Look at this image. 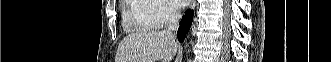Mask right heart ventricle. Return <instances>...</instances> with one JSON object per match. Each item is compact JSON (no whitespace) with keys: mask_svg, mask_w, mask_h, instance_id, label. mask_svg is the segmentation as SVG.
<instances>
[{"mask_svg":"<svg viewBox=\"0 0 331 62\" xmlns=\"http://www.w3.org/2000/svg\"><path fill=\"white\" fill-rule=\"evenodd\" d=\"M151 8L144 0H129L123 8V24L127 29L148 32L153 28L149 23Z\"/></svg>","mask_w":331,"mask_h":62,"instance_id":"right-heart-ventricle-1","label":"right heart ventricle"}]
</instances>
